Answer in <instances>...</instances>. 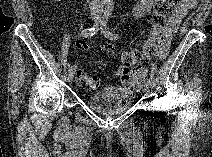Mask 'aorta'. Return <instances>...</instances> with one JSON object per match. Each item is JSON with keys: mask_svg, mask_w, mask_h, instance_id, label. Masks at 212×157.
Here are the masks:
<instances>
[{"mask_svg": "<svg viewBox=\"0 0 212 157\" xmlns=\"http://www.w3.org/2000/svg\"><path fill=\"white\" fill-rule=\"evenodd\" d=\"M105 2H106L107 4H111V1H110V0H105Z\"/></svg>", "mask_w": 212, "mask_h": 157, "instance_id": "aorta-1", "label": "aorta"}]
</instances>
